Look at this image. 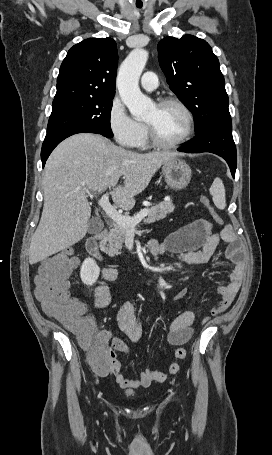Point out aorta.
<instances>
[{"label": "aorta", "mask_w": 272, "mask_h": 455, "mask_svg": "<svg viewBox=\"0 0 272 455\" xmlns=\"http://www.w3.org/2000/svg\"><path fill=\"white\" fill-rule=\"evenodd\" d=\"M148 52L135 48L119 68L117 87L123 103L136 119L145 118L154 108L153 101L139 89V78L146 65Z\"/></svg>", "instance_id": "1"}]
</instances>
